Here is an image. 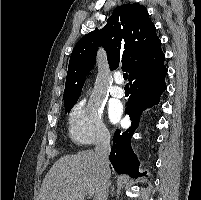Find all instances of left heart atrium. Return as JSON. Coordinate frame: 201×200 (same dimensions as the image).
Listing matches in <instances>:
<instances>
[{"label":"left heart atrium","instance_id":"1","mask_svg":"<svg viewBox=\"0 0 201 200\" xmlns=\"http://www.w3.org/2000/svg\"><path fill=\"white\" fill-rule=\"evenodd\" d=\"M118 115H119L118 111H114V112L112 113V117H113V118H117Z\"/></svg>","mask_w":201,"mask_h":200}]
</instances>
